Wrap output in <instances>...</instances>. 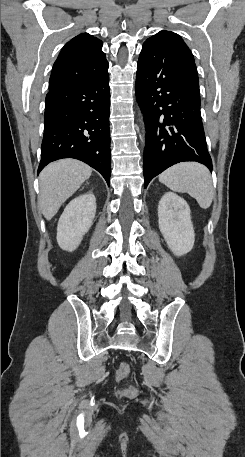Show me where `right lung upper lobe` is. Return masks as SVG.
<instances>
[{"instance_id":"obj_1","label":"right lung upper lobe","mask_w":245,"mask_h":457,"mask_svg":"<svg viewBox=\"0 0 245 457\" xmlns=\"http://www.w3.org/2000/svg\"><path fill=\"white\" fill-rule=\"evenodd\" d=\"M101 47L102 41L88 33L79 34L70 40L54 63L49 90L80 78L107 72L108 62Z\"/></svg>"}]
</instances>
